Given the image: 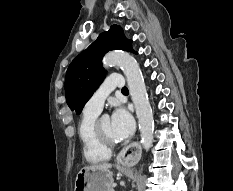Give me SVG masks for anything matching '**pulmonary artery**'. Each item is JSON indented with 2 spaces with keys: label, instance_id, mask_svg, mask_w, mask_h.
<instances>
[{
  "label": "pulmonary artery",
  "instance_id": "1",
  "mask_svg": "<svg viewBox=\"0 0 233 191\" xmlns=\"http://www.w3.org/2000/svg\"><path fill=\"white\" fill-rule=\"evenodd\" d=\"M123 86L124 79L121 75L108 76L100 85V87L94 92L91 98L87 101L85 105V110L99 114L110 92L115 88H122Z\"/></svg>",
  "mask_w": 233,
  "mask_h": 191
}]
</instances>
